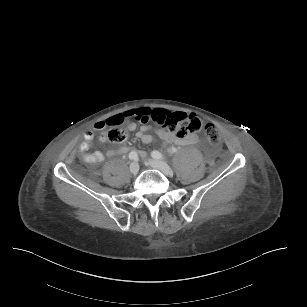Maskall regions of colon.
<instances>
[{
    "label": "colon",
    "instance_id": "5ec220e1",
    "mask_svg": "<svg viewBox=\"0 0 307 307\" xmlns=\"http://www.w3.org/2000/svg\"><path fill=\"white\" fill-rule=\"evenodd\" d=\"M151 121L164 131H173L179 136L191 135L198 132L202 128V122L194 115L182 112H169V111H153L150 113ZM123 120L109 119L101 122L98 125V130L104 135L105 139L111 143H122L127 136L128 128H121ZM204 134L211 146H219L220 133L212 124L204 126Z\"/></svg>",
    "mask_w": 307,
    "mask_h": 307
}]
</instances>
